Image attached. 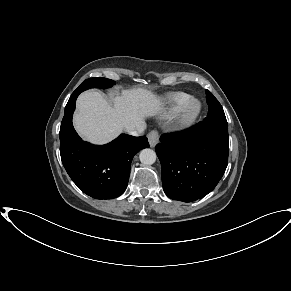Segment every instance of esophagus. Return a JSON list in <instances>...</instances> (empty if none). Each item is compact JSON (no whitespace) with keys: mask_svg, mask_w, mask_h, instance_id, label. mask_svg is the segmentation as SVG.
Wrapping results in <instances>:
<instances>
[{"mask_svg":"<svg viewBox=\"0 0 291 291\" xmlns=\"http://www.w3.org/2000/svg\"><path fill=\"white\" fill-rule=\"evenodd\" d=\"M148 141L151 147H154L159 141L158 132L153 130L148 134Z\"/></svg>","mask_w":291,"mask_h":291,"instance_id":"obj_1","label":"esophagus"}]
</instances>
